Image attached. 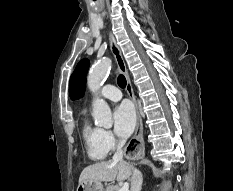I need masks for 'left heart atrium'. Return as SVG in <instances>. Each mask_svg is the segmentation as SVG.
Listing matches in <instances>:
<instances>
[{"label": "left heart atrium", "instance_id": "39dd6f15", "mask_svg": "<svg viewBox=\"0 0 233 191\" xmlns=\"http://www.w3.org/2000/svg\"><path fill=\"white\" fill-rule=\"evenodd\" d=\"M114 130L120 137H128L136 125V115L133 107L124 102L116 107L113 113Z\"/></svg>", "mask_w": 233, "mask_h": 191}]
</instances>
